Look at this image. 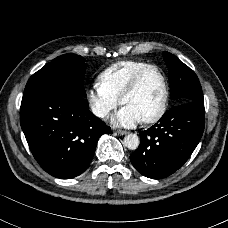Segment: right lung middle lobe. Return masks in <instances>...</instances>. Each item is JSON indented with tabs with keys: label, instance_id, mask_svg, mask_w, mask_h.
<instances>
[{
	"label": "right lung middle lobe",
	"instance_id": "right-lung-middle-lobe-1",
	"mask_svg": "<svg viewBox=\"0 0 228 228\" xmlns=\"http://www.w3.org/2000/svg\"><path fill=\"white\" fill-rule=\"evenodd\" d=\"M85 59L76 54L61 55L33 74L26 88L40 85H59L70 88L75 94L86 97L84 90Z\"/></svg>",
	"mask_w": 228,
	"mask_h": 228
}]
</instances>
